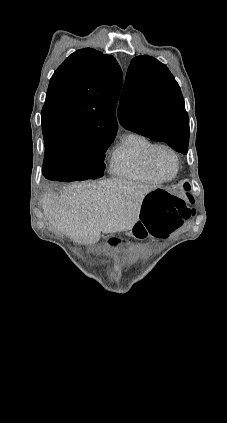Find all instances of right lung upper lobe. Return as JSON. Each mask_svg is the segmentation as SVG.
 Instances as JSON below:
<instances>
[{
  "mask_svg": "<svg viewBox=\"0 0 227 423\" xmlns=\"http://www.w3.org/2000/svg\"><path fill=\"white\" fill-rule=\"evenodd\" d=\"M123 75L116 59L92 48L71 54L53 74L42 109L44 143L115 136Z\"/></svg>",
  "mask_w": 227,
  "mask_h": 423,
  "instance_id": "right-lung-upper-lobe-1",
  "label": "right lung upper lobe"
}]
</instances>
